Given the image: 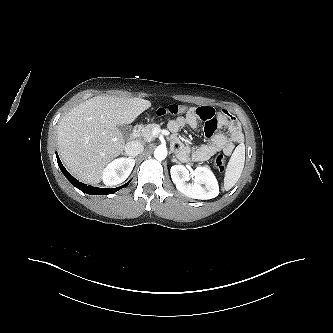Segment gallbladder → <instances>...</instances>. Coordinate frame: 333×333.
I'll list each match as a JSON object with an SVG mask.
<instances>
[{
  "mask_svg": "<svg viewBox=\"0 0 333 333\" xmlns=\"http://www.w3.org/2000/svg\"><path fill=\"white\" fill-rule=\"evenodd\" d=\"M117 127L124 136H127L130 132V127L128 125H118Z\"/></svg>",
  "mask_w": 333,
  "mask_h": 333,
  "instance_id": "bac80fb5",
  "label": "gallbladder"
}]
</instances>
